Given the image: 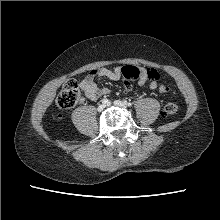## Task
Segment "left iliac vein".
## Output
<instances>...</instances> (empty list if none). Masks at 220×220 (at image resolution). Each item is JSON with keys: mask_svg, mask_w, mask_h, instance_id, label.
I'll return each instance as SVG.
<instances>
[{"mask_svg": "<svg viewBox=\"0 0 220 220\" xmlns=\"http://www.w3.org/2000/svg\"><path fill=\"white\" fill-rule=\"evenodd\" d=\"M114 105H115V106H118V107H120V108H126V107H127V106H126V103L123 102V101H121V100H116V101H114Z\"/></svg>", "mask_w": 220, "mask_h": 220, "instance_id": "left-iliac-vein-1", "label": "left iliac vein"}]
</instances>
